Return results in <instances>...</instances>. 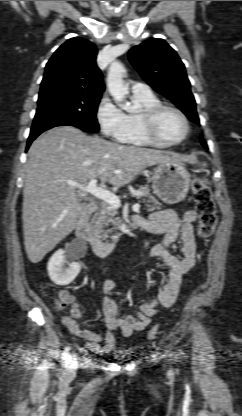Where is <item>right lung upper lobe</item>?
I'll return each mask as SVG.
<instances>
[{
    "mask_svg": "<svg viewBox=\"0 0 242 416\" xmlns=\"http://www.w3.org/2000/svg\"><path fill=\"white\" fill-rule=\"evenodd\" d=\"M96 55L90 41L79 37L67 40L48 61L39 95L56 91L101 95L104 84Z\"/></svg>",
    "mask_w": 242,
    "mask_h": 416,
    "instance_id": "1",
    "label": "right lung upper lobe"
}]
</instances>
